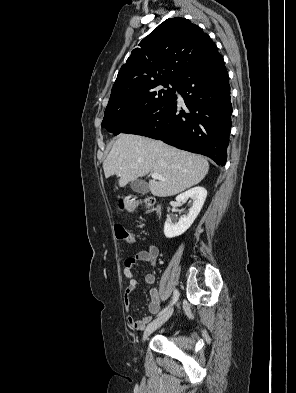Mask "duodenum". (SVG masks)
<instances>
[{
    "label": "duodenum",
    "instance_id": "obj_1",
    "mask_svg": "<svg viewBox=\"0 0 296 393\" xmlns=\"http://www.w3.org/2000/svg\"><path fill=\"white\" fill-rule=\"evenodd\" d=\"M128 200H129V203H130L131 205H134V204H135V199H134V198H129ZM157 211H159V208L157 209Z\"/></svg>",
    "mask_w": 296,
    "mask_h": 393
}]
</instances>
